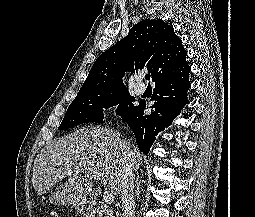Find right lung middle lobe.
<instances>
[{"label":"right lung middle lobe","instance_id":"right-lung-middle-lobe-1","mask_svg":"<svg viewBox=\"0 0 255 217\" xmlns=\"http://www.w3.org/2000/svg\"><path fill=\"white\" fill-rule=\"evenodd\" d=\"M132 97L125 88H117L92 93H78L69 105L67 112L59 126V130H66L83 123L101 122L104 118L103 108L118 105L117 114L124 116L130 113L135 105Z\"/></svg>","mask_w":255,"mask_h":217}]
</instances>
